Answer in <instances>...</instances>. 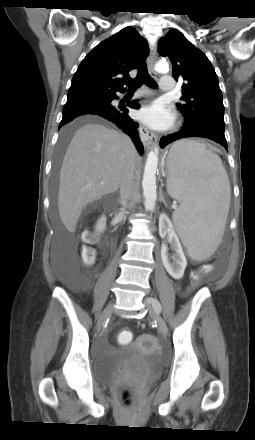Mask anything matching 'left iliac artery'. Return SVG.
<instances>
[{"instance_id": "obj_1", "label": "left iliac artery", "mask_w": 255, "mask_h": 440, "mask_svg": "<svg viewBox=\"0 0 255 440\" xmlns=\"http://www.w3.org/2000/svg\"><path fill=\"white\" fill-rule=\"evenodd\" d=\"M149 301L152 304V306L154 307V309L160 313L161 312V305H160L159 301L157 299L151 298V297L149 298Z\"/></svg>"}]
</instances>
